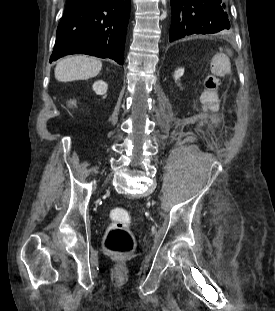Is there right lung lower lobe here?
<instances>
[{
    "mask_svg": "<svg viewBox=\"0 0 275 311\" xmlns=\"http://www.w3.org/2000/svg\"><path fill=\"white\" fill-rule=\"evenodd\" d=\"M130 0H77L67 3L50 62L87 54L124 63Z\"/></svg>",
    "mask_w": 275,
    "mask_h": 311,
    "instance_id": "1",
    "label": "right lung lower lobe"
}]
</instances>
